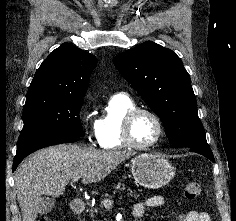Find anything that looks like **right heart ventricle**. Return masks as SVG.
<instances>
[{
  "mask_svg": "<svg viewBox=\"0 0 236 221\" xmlns=\"http://www.w3.org/2000/svg\"><path fill=\"white\" fill-rule=\"evenodd\" d=\"M136 107L134 100L127 94H115L107 101L97 120L98 143L105 150L124 149L121 136L122 120L125 114Z\"/></svg>",
  "mask_w": 236,
  "mask_h": 221,
  "instance_id": "obj_1",
  "label": "right heart ventricle"
}]
</instances>
